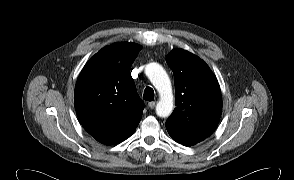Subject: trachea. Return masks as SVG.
Here are the masks:
<instances>
[{
	"label": "trachea",
	"mask_w": 294,
	"mask_h": 180,
	"mask_svg": "<svg viewBox=\"0 0 294 180\" xmlns=\"http://www.w3.org/2000/svg\"><path fill=\"white\" fill-rule=\"evenodd\" d=\"M143 99L146 101H153L154 100V90L151 87L145 88Z\"/></svg>",
	"instance_id": "trachea-1"
}]
</instances>
